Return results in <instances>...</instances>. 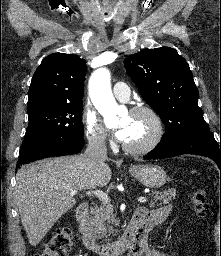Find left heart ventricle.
<instances>
[{"instance_id":"b2bd125f","label":"left heart ventricle","mask_w":221,"mask_h":256,"mask_svg":"<svg viewBox=\"0 0 221 256\" xmlns=\"http://www.w3.org/2000/svg\"><path fill=\"white\" fill-rule=\"evenodd\" d=\"M120 126L129 127V135L125 143L140 145L145 143L153 134V123L145 114L126 115L120 121Z\"/></svg>"}]
</instances>
